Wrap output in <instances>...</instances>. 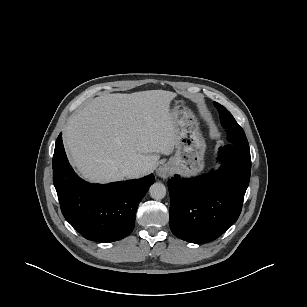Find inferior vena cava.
Returning <instances> with one entry per match:
<instances>
[{
	"label": "inferior vena cava",
	"mask_w": 307,
	"mask_h": 307,
	"mask_svg": "<svg viewBox=\"0 0 307 307\" xmlns=\"http://www.w3.org/2000/svg\"><path fill=\"white\" fill-rule=\"evenodd\" d=\"M144 171H145V168H142V167L127 168L124 170V174L128 178H133V177L141 175Z\"/></svg>",
	"instance_id": "inferior-vena-cava-1"
}]
</instances>
